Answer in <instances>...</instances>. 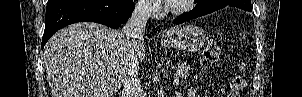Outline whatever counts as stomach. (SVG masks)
Masks as SVG:
<instances>
[{"label":"stomach","instance_id":"stomach-1","mask_svg":"<svg viewBox=\"0 0 302 97\" xmlns=\"http://www.w3.org/2000/svg\"><path fill=\"white\" fill-rule=\"evenodd\" d=\"M206 39L203 29L195 25H187L182 27L173 38L165 41L163 45L184 52H197L204 46Z\"/></svg>","mask_w":302,"mask_h":97}]
</instances>
